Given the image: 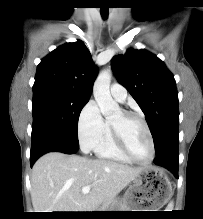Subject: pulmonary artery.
<instances>
[{
	"instance_id": "1",
	"label": "pulmonary artery",
	"mask_w": 203,
	"mask_h": 219,
	"mask_svg": "<svg viewBox=\"0 0 203 219\" xmlns=\"http://www.w3.org/2000/svg\"><path fill=\"white\" fill-rule=\"evenodd\" d=\"M110 92L113 98L118 102L123 103L126 100L127 91L121 84L118 83L112 84L110 88Z\"/></svg>"
}]
</instances>
